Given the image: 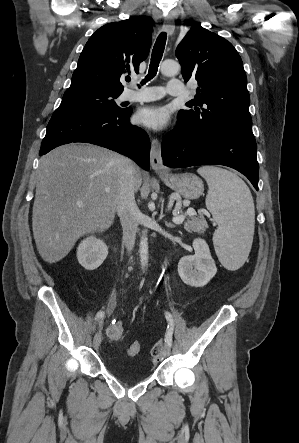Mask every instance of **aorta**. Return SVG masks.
Instances as JSON below:
<instances>
[{
  "label": "aorta",
  "instance_id": "obj_1",
  "mask_svg": "<svg viewBox=\"0 0 299 443\" xmlns=\"http://www.w3.org/2000/svg\"><path fill=\"white\" fill-rule=\"evenodd\" d=\"M160 71L165 76H175L180 71V65L176 61L165 60L160 66ZM139 256L141 267L144 269L148 263V238L146 235H142L140 238Z\"/></svg>",
  "mask_w": 299,
  "mask_h": 443
}]
</instances>
